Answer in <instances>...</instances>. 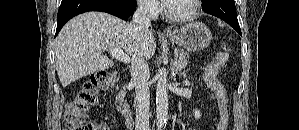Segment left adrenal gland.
Masks as SVG:
<instances>
[{
  "label": "left adrenal gland",
  "mask_w": 299,
  "mask_h": 130,
  "mask_svg": "<svg viewBox=\"0 0 299 130\" xmlns=\"http://www.w3.org/2000/svg\"><path fill=\"white\" fill-rule=\"evenodd\" d=\"M176 73H178V72L176 71ZM181 75H182V73H181ZM183 76H185L184 73H183Z\"/></svg>",
  "instance_id": "obj_1"
}]
</instances>
